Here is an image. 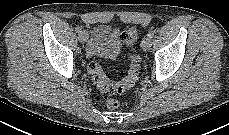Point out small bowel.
<instances>
[{"label":"small bowel","instance_id":"small-bowel-1","mask_svg":"<svg viewBox=\"0 0 229 135\" xmlns=\"http://www.w3.org/2000/svg\"><path fill=\"white\" fill-rule=\"evenodd\" d=\"M106 36L107 45L105 47L99 48L95 42L90 44V50L93 53H97L101 56L115 57L119 53L120 44L118 41V30L106 26L103 29Z\"/></svg>","mask_w":229,"mask_h":135}]
</instances>
